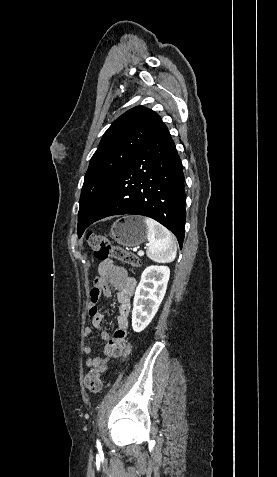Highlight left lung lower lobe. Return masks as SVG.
<instances>
[{
  "mask_svg": "<svg viewBox=\"0 0 277 477\" xmlns=\"http://www.w3.org/2000/svg\"><path fill=\"white\" fill-rule=\"evenodd\" d=\"M122 214L150 217L177 237L185 232V189L182 163L167 128L163 129L122 167L99 208L79 231L97 220Z\"/></svg>",
  "mask_w": 277,
  "mask_h": 477,
  "instance_id": "0a47b994",
  "label": "left lung lower lobe"
}]
</instances>
